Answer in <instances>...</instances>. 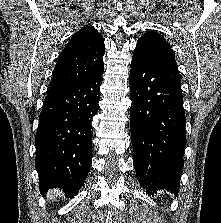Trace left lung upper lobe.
<instances>
[{
	"instance_id": "left-lung-upper-lobe-1",
	"label": "left lung upper lobe",
	"mask_w": 221,
	"mask_h": 223,
	"mask_svg": "<svg viewBox=\"0 0 221 223\" xmlns=\"http://www.w3.org/2000/svg\"><path fill=\"white\" fill-rule=\"evenodd\" d=\"M135 50L150 58L177 65L170 45L154 31H147L138 40Z\"/></svg>"
}]
</instances>
